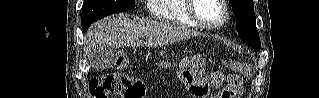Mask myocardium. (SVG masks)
I'll list each match as a JSON object with an SVG mask.
<instances>
[{"instance_id": "1", "label": "myocardium", "mask_w": 319, "mask_h": 98, "mask_svg": "<svg viewBox=\"0 0 319 98\" xmlns=\"http://www.w3.org/2000/svg\"><path fill=\"white\" fill-rule=\"evenodd\" d=\"M195 1L197 0H187V12L188 15L190 16V18L197 23L200 27L209 29V30H216L219 29L221 27H223L229 19V10H228V6L225 0H218L219 4L222 6L223 10H224V15L222 20L219 23L216 24H210L206 21H204L203 19L200 18V16H198V14L195 11Z\"/></svg>"}]
</instances>
